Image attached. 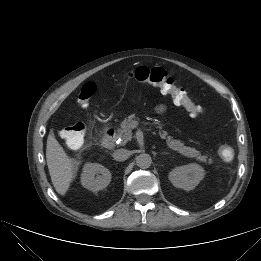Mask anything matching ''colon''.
<instances>
[{"label":"colon","instance_id":"5ec220e1","mask_svg":"<svg viewBox=\"0 0 261 261\" xmlns=\"http://www.w3.org/2000/svg\"><path fill=\"white\" fill-rule=\"evenodd\" d=\"M129 77L139 82L160 87L164 93L172 96L176 104L184 106L192 115L197 116L201 113V108L188 97L183 88L175 84L174 79L164 68L140 66L131 70ZM96 89L97 87L93 82H88L82 86L78 96V103L81 107L86 108L89 105ZM61 135L69 147L78 149L84 144L86 125L83 122H76L64 128ZM218 155L223 161H231L234 158V149L228 144H223L218 148Z\"/></svg>","mask_w":261,"mask_h":261}]
</instances>
